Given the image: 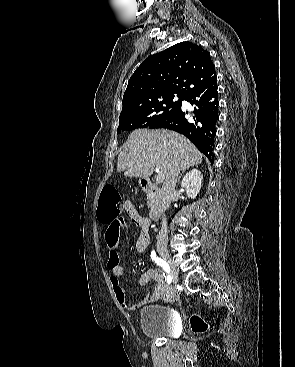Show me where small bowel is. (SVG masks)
Wrapping results in <instances>:
<instances>
[{
  "mask_svg": "<svg viewBox=\"0 0 295 367\" xmlns=\"http://www.w3.org/2000/svg\"><path fill=\"white\" fill-rule=\"evenodd\" d=\"M124 209L128 215V222L138 226L140 231L135 242V249L137 252H144L150 243V227L151 220L148 217L140 215L135 206L130 202L124 203ZM127 223L124 218H117L106 224L104 230V240L109 251V260L107 263L108 269L111 272L110 283L112 285L115 297L119 305L126 311H134L143 306L147 302H156L167 299L171 296L169 287L157 269H148L139 278L138 284L140 287L146 286L149 282L155 283L153 291L141 301L135 304H130L127 301L124 289L120 284V277L123 275L124 269L122 266V259L119 252V236L121 228Z\"/></svg>",
  "mask_w": 295,
  "mask_h": 367,
  "instance_id": "c3829d8e",
  "label": "small bowel"
}]
</instances>
